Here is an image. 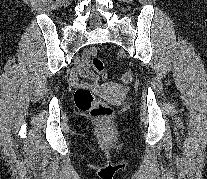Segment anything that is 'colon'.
Here are the masks:
<instances>
[{"mask_svg": "<svg viewBox=\"0 0 207 179\" xmlns=\"http://www.w3.org/2000/svg\"><path fill=\"white\" fill-rule=\"evenodd\" d=\"M92 66L96 72L103 74L104 64L99 58H92ZM132 80L133 75L131 72H126L122 75L121 81L123 84H130ZM74 101L79 110L88 112L91 117L97 120L108 121L113 116V109L105 103L97 100L88 88H78L74 94Z\"/></svg>", "mask_w": 207, "mask_h": 179, "instance_id": "colon-1", "label": "colon"}]
</instances>
